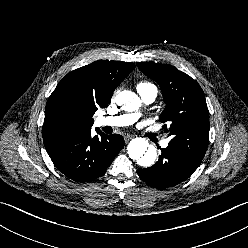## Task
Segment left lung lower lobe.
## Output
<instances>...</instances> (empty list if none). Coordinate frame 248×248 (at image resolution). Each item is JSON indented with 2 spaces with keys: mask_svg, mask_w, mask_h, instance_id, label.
Wrapping results in <instances>:
<instances>
[{
  "mask_svg": "<svg viewBox=\"0 0 248 248\" xmlns=\"http://www.w3.org/2000/svg\"><path fill=\"white\" fill-rule=\"evenodd\" d=\"M161 151L157 163L149 168L137 170L139 177L154 188L175 186L189 178L200 165L190 161L173 147L168 146Z\"/></svg>",
  "mask_w": 248,
  "mask_h": 248,
  "instance_id": "left-lung-lower-lobe-1",
  "label": "left lung lower lobe"
}]
</instances>
